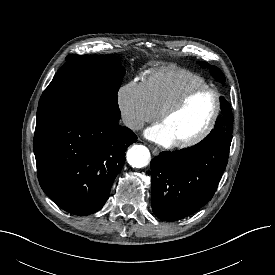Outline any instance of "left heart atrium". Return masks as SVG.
Segmentation results:
<instances>
[{"mask_svg":"<svg viewBox=\"0 0 275 275\" xmlns=\"http://www.w3.org/2000/svg\"><path fill=\"white\" fill-rule=\"evenodd\" d=\"M145 136L148 139L160 143L162 145H170L174 142L172 136L162 123L156 124L148 128L145 131Z\"/></svg>","mask_w":275,"mask_h":275,"instance_id":"1","label":"left heart atrium"}]
</instances>
